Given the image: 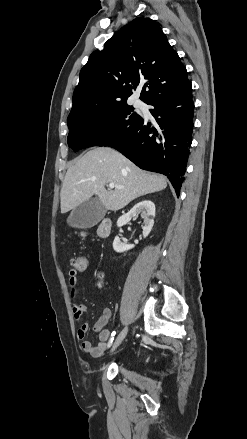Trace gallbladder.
Wrapping results in <instances>:
<instances>
[{
    "label": "gallbladder",
    "instance_id": "bac80fb5",
    "mask_svg": "<svg viewBox=\"0 0 247 439\" xmlns=\"http://www.w3.org/2000/svg\"><path fill=\"white\" fill-rule=\"evenodd\" d=\"M106 208L98 198H90L74 208L67 218V223L75 228H91L105 215Z\"/></svg>",
    "mask_w": 247,
    "mask_h": 439
}]
</instances>
